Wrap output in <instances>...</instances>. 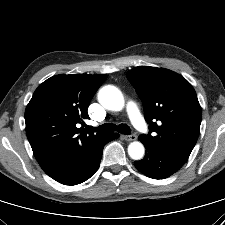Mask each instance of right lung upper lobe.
Listing matches in <instances>:
<instances>
[{"label": "right lung upper lobe", "mask_w": 225, "mask_h": 225, "mask_svg": "<svg viewBox=\"0 0 225 225\" xmlns=\"http://www.w3.org/2000/svg\"><path fill=\"white\" fill-rule=\"evenodd\" d=\"M107 75H56L34 92L25 110L27 138L43 170L62 155L87 149L104 136L77 128L89 119L88 105Z\"/></svg>", "instance_id": "cb5924a9"}]
</instances>
